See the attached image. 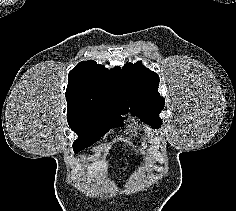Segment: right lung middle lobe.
Returning a JSON list of instances; mask_svg holds the SVG:
<instances>
[{"mask_svg":"<svg viewBox=\"0 0 236 211\" xmlns=\"http://www.w3.org/2000/svg\"><path fill=\"white\" fill-rule=\"evenodd\" d=\"M126 113L67 111L69 127L79 136L73 143L74 152L91 146L111 128L122 126V115Z\"/></svg>","mask_w":236,"mask_h":211,"instance_id":"dd1d6c3e","label":"right lung middle lobe"}]
</instances>
